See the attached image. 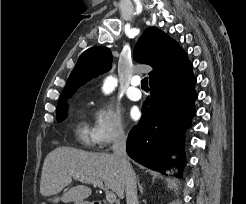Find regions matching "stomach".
<instances>
[{"mask_svg":"<svg viewBox=\"0 0 246 204\" xmlns=\"http://www.w3.org/2000/svg\"><path fill=\"white\" fill-rule=\"evenodd\" d=\"M75 204H89L87 201L76 202Z\"/></svg>","mask_w":246,"mask_h":204,"instance_id":"obj_1","label":"stomach"}]
</instances>
